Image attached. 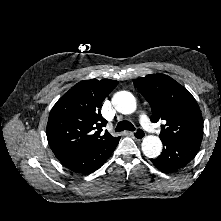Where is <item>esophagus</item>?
Instances as JSON below:
<instances>
[{
  "instance_id": "obj_1",
  "label": "esophagus",
  "mask_w": 221,
  "mask_h": 221,
  "mask_svg": "<svg viewBox=\"0 0 221 221\" xmlns=\"http://www.w3.org/2000/svg\"><path fill=\"white\" fill-rule=\"evenodd\" d=\"M130 135L136 139V140H142L145 138V133L143 131H141L140 129L137 132H131Z\"/></svg>"
}]
</instances>
